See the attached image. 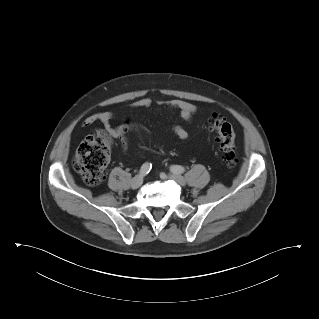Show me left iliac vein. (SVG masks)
<instances>
[{
	"label": "left iliac vein",
	"mask_w": 319,
	"mask_h": 319,
	"mask_svg": "<svg viewBox=\"0 0 319 319\" xmlns=\"http://www.w3.org/2000/svg\"><path fill=\"white\" fill-rule=\"evenodd\" d=\"M162 178H166L165 174H161ZM168 178L174 180L175 182H177L179 185L184 186L186 184V180L184 179V177H182L179 174L176 173H172L168 176Z\"/></svg>",
	"instance_id": "obj_1"
}]
</instances>
